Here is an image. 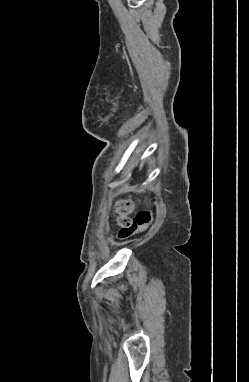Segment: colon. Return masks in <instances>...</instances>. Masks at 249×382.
Returning <instances> with one entry per match:
<instances>
[{
  "mask_svg": "<svg viewBox=\"0 0 249 382\" xmlns=\"http://www.w3.org/2000/svg\"><path fill=\"white\" fill-rule=\"evenodd\" d=\"M133 208V201L128 198L119 199L115 203V223L119 228L117 234L119 241H125L135 233L143 231L152 221V213L146 209L139 211L135 217H131Z\"/></svg>",
  "mask_w": 249,
  "mask_h": 382,
  "instance_id": "5ec220e1",
  "label": "colon"
}]
</instances>
